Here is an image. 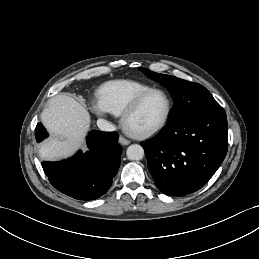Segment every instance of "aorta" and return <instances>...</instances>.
Here are the masks:
<instances>
[{"mask_svg": "<svg viewBox=\"0 0 259 259\" xmlns=\"http://www.w3.org/2000/svg\"><path fill=\"white\" fill-rule=\"evenodd\" d=\"M127 158L129 160H141L144 157V149L141 145L132 144L127 148Z\"/></svg>", "mask_w": 259, "mask_h": 259, "instance_id": "762f6f07", "label": "aorta"}]
</instances>
